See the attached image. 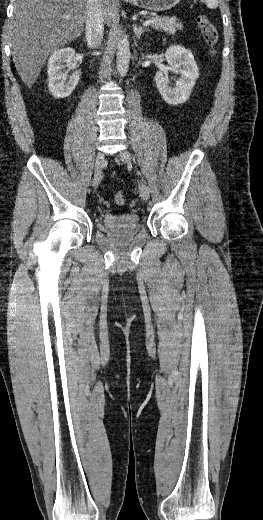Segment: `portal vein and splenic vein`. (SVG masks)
I'll return each instance as SVG.
<instances>
[{
  "label": "portal vein and splenic vein",
  "mask_w": 263,
  "mask_h": 520,
  "mask_svg": "<svg viewBox=\"0 0 263 520\" xmlns=\"http://www.w3.org/2000/svg\"><path fill=\"white\" fill-rule=\"evenodd\" d=\"M65 18H66V19H69V16H65ZM152 23H154V21L149 19V20H146V21L143 23V25H146V26H147V25H150V24H152Z\"/></svg>",
  "instance_id": "18ae733b"
}]
</instances>
